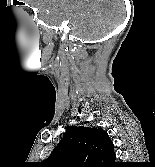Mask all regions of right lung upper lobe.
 <instances>
[{
  "label": "right lung upper lobe",
  "mask_w": 155,
  "mask_h": 167,
  "mask_svg": "<svg viewBox=\"0 0 155 167\" xmlns=\"http://www.w3.org/2000/svg\"><path fill=\"white\" fill-rule=\"evenodd\" d=\"M116 155L114 145L101 128L72 126L43 167H113Z\"/></svg>",
  "instance_id": "right-lung-upper-lobe-1"
}]
</instances>
